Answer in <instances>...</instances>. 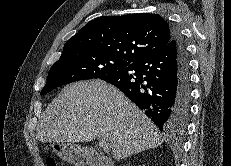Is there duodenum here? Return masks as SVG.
I'll use <instances>...</instances> for the list:
<instances>
[{"instance_id": "410a0bca", "label": "duodenum", "mask_w": 231, "mask_h": 166, "mask_svg": "<svg viewBox=\"0 0 231 166\" xmlns=\"http://www.w3.org/2000/svg\"><path fill=\"white\" fill-rule=\"evenodd\" d=\"M84 161L87 166H113L105 156L92 150L85 152Z\"/></svg>"}]
</instances>
